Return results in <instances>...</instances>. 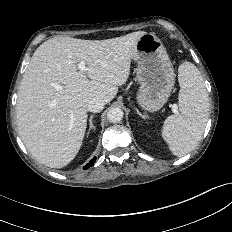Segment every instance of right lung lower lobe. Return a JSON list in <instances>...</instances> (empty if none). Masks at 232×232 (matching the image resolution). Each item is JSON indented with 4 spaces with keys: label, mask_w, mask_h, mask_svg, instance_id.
Here are the masks:
<instances>
[{
    "label": "right lung lower lobe",
    "mask_w": 232,
    "mask_h": 232,
    "mask_svg": "<svg viewBox=\"0 0 232 232\" xmlns=\"http://www.w3.org/2000/svg\"><path fill=\"white\" fill-rule=\"evenodd\" d=\"M95 161H96V157H94L86 166H84V170L91 167L94 164Z\"/></svg>",
    "instance_id": "obj_1"
}]
</instances>
